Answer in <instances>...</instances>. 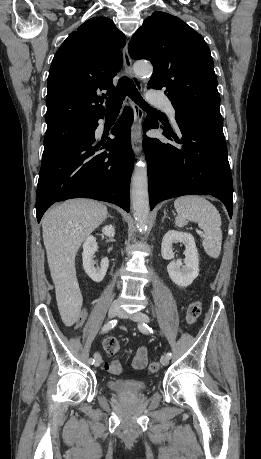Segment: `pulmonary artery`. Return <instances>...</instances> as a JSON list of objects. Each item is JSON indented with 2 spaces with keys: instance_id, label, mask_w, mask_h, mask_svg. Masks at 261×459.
Here are the masks:
<instances>
[{
  "instance_id": "e3ab8cb5",
  "label": "pulmonary artery",
  "mask_w": 261,
  "mask_h": 459,
  "mask_svg": "<svg viewBox=\"0 0 261 459\" xmlns=\"http://www.w3.org/2000/svg\"><path fill=\"white\" fill-rule=\"evenodd\" d=\"M149 100L152 104L162 107L170 117L172 121H175V109L173 108L170 101L162 96L151 93L149 95Z\"/></svg>"
}]
</instances>
